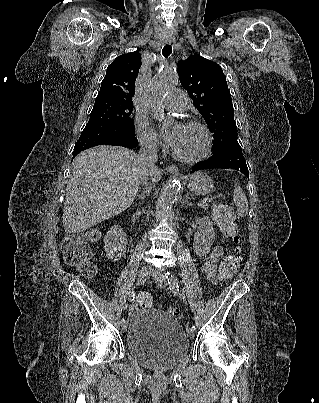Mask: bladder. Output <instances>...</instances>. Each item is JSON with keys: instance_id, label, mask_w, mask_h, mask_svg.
I'll return each mask as SVG.
<instances>
[{"instance_id": "obj_1", "label": "bladder", "mask_w": 319, "mask_h": 403, "mask_svg": "<svg viewBox=\"0 0 319 403\" xmlns=\"http://www.w3.org/2000/svg\"><path fill=\"white\" fill-rule=\"evenodd\" d=\"M126 331L128 353L150 370H169L190 352L182 324L164 311L152 308L135 311Z\"/></svg>"}]
</instances>
